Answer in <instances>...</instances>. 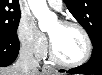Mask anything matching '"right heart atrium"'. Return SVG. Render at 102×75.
<instances>
[{
	"mask_svg": "<svg viewBox=\"0 0 102 75\" xmlns=\"http://www.w3.org/2000/svg\"><path fill=\"white\" fill-rule=\"evenodd\" d=\"M18 39L22 47L38 59L47 52V42L30 17H22L18 25Z\"/></svg>",
	"mask_w": 102,
	"mask_h": 75,
	"instance_id": "right-heart-atrium-1",
	"label": "right heart atrium"
}]
</instances>
